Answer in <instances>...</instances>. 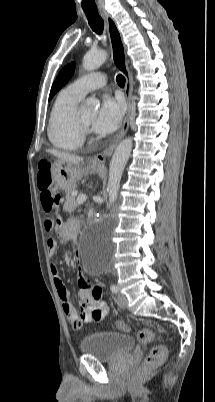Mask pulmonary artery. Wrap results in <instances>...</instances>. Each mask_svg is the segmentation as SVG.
I'll list each match as a JSON object with an SVG mask.
<instances>
[{
	"label": "pulmonary artery",
	"instance_id": "e3ab8cb5",
	"mask_svg": "<svg viewBox=\"0 0 215 402\" xmlns=\"http://www.w3.org/2000/svg\"><path fill=\"white\" fill-rule=\"evenodd\" d=\"M105 84L106 76L100 72H93L75 80L67 88L80 97H84L89 91L101 88Z\"/></svg>",
	"mask_w": 215,
	"mask_h": 402
}]
</instances>
